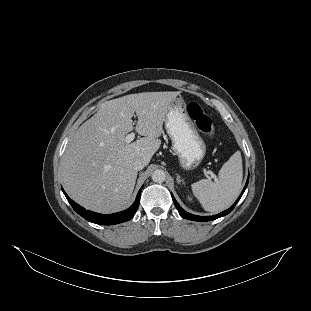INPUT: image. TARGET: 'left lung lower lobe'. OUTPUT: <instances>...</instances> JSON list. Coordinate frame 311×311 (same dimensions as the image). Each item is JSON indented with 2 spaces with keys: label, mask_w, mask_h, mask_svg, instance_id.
Listing matches in <instances>:
<instances>
[{
  "label": "left lung lower lobe",
  "mask_w": 311,
  "mask_h": 311,
  "mask_svg": "<svg viewBox=\"0 0 311 311\" xmlns=\"http://www.w3.org/2000/svg\"><path fill=\"white\" fill-rule=\"evenodd\" d=\"M248 181H249V178L247 179V182L245 184V187L242 191V193L240 194L239 198L236 200V202L227 210L217 214V215H213V216H196V215H193V214H190L188 212H185L181 207L180 205L178 204V202L175 200L174 196L172 195V199H173V202L175 204V206L177 207L178 211H179V214L183 217V218H186V219H189V220H194V221H211V220H214V219H217L219 217H222V216H225L227 215L228 213H230L233 208L235 207L236 203L239 201V199L241 198L242 194L244 193L247 185H248Z\"/></svg>",
  "instance_id": "0a47b994"
}]
</instances>
